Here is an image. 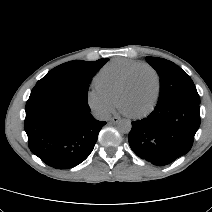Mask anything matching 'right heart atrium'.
Instances as JSON below:
<instances>
[{
    "instance_id": "d8ad5b80",
    "label": "right heart atrium",
    "mask_w": 212,
    "mask_h": 212,
    "mask_svg": "<svg viewBox=\"0 0 212 212\" xmlns=\"http://www.w3.org/2000/svg\"><path fill=\"white\" fill-rule=\"evenodd\" d=\"M86 101L90 109L100 116L108 115L115 104L114 97L98 86L87 92Z\"/></svg>"
}]
</instances>
